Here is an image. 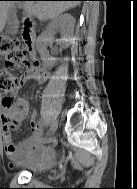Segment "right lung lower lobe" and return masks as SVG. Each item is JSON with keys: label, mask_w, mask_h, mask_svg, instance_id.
Here are the masks:
<instances>
[{"label": "right lung lower lobe", "mask_w": 137, "mask_h": 189, "mask_svg": "<svg viewBox=\"0 0 137 189\" xmlns=\"http://www.w3.org/2000/svg\"><path fill=\"white\" fill-rule=\"evenodd\" d=\"M73 1H85V0H73Z\"/></svg>", "instance_id": "1"}]
</instances>
